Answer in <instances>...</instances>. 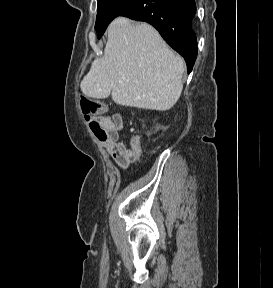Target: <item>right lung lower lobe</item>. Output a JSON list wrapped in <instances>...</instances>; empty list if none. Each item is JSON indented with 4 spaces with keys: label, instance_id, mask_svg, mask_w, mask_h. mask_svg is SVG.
<instances>
[{
    "label": "right lung lower lobe",
    "instance_id": "obj_1",
    "mask_svg": "<svg viewBox=\"0 0 273 288\" xmlns=\"http://www.w3.org/2000/svg\"><path fill=\"white\" fill-rule=\"evenodd\" d=\"M195 0H137L120 16L151 24L180 55L192 71L197 57L194 32Z\"/></svg>",
    "mask_w": 273,
    "mask_h": 288
}]
</instances>
